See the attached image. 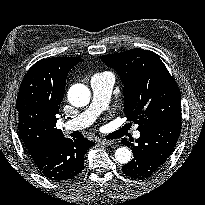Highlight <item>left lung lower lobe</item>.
Segmentation results:
<instances>
[{
  "label": "left lung lower lobe",
  "mask_w": 205,
  "mask_h": 205,
  "mask_svg": "<svg viewBox=\"0 0 205 205\" xmlns=\"http://www.w3.org/2000/svg\"><path fill=\"white\" fill-rule=\"evenodd\" d=\"M181 121L167 122L140 131L137 144L123 138L121 143L131 147L134 158L122 167L124 174L144 179L157 172L169 158L181 131Z\"/></svg>",
  "instance_id": "1"
}]
</instances>
